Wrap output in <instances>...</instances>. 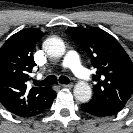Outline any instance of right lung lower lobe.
Masks as SVG:
<instances>
[{
  "instance_id": "98d812e1",
  "label": "right lung lower lobe",
  "mask_w": 133,
  "mask_h": 133,
  "mask_svg": "<svg viewBox=\"0 0 133 133\" xmlns=\"http://www.w3.org/2000/svg\"><path fill=\"white\" fill-rule=\"evenodd\" d=\"M51 104H52V103H51ZM50 106H51V105H50ZM50 106H49V107H50ZM49 107H47L46 109H48ZM46 109H45V110H46Z\"/></svg>"
}]
</instances>
